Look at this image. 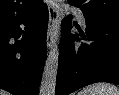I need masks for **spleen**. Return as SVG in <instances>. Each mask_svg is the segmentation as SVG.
Wrapping results in <instances>:
<instances>
[{
  "label": "spleen",
  "instance_id": "1",
  "mask_svg": "<svg viewBox=\"0 0 119 95\" xmlns=\"http://www.w3.org/2000/svg\"><path fill=\"white\" fill-rule=\"evenodd\" d=\"M78 95H119V89L109 83H95L85 87Z\"/></svg>",
  "mask_w": 119,
  "mask_h": 95
}]
</instances>
